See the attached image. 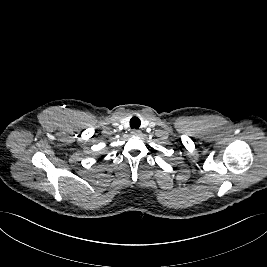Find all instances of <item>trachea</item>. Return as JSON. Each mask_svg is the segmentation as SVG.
Segmentation results:
<instances>
[{
    "label": "trachea",
    "instance_id": "trachea-1",
    "mask_svg": "<svg viewBox=\"0 0 267 267\" xmlns=\"http://www.w3.org/2000/svg\"><path fill=\"white\" fill-rule=\"evenodd\" d=\"M141 125V121L138 117H132L130 120V127L132 129H138Z\"/></svg>",
    "mask_w": 267,
    "mask_h": 267
}]
</instances>
